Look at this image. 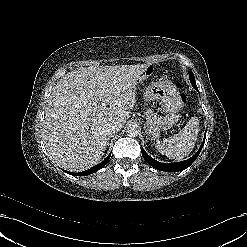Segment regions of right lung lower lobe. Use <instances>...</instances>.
Segmentation results:
<instances>
[{
  "mask_svg": "<svg viewBox=\"0 0 247 247\" xmlns=\"http://www.w3.org/2000/svg\"><path fill=\"white\" fill-rule=\"evenodd\" d=\"M110 156H111V153L106 157V159L101 162L100 164L98 165H95L93 166L91 169H88L86 171H83V172H80V173H72V172H69V171H65L66 173L68 174H75V175H80V176H86L88 174H92V173H95L96 171L100 170L101 168H103L105 166V164L109 161L110 159Z\"/></svg>",
  "mask_w": 247,
  "mask_h": 247,
  "instance_id": "right-lung-lower-lobe-1",
  "label": "right lung lower lobe"
}]
</instances>
